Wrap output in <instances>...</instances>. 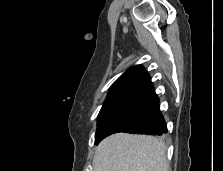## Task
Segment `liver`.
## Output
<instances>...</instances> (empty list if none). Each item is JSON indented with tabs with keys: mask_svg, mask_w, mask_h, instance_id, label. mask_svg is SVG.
Returning <instances> with one entry per match:
<instances>
[{
	"mask_svg": "<svg viewBox=\"0 0 223 171\" xmlns=\"http://www.w3.org/2000/svg\"><path fill=\"white\" fill-rule=\"evenodd\" d=\"M94 171H169L166 146L147 135L117 133L97 147Z\"/></svg>",
	"mask_w": 223,
	"mask_h": 171,
	"instance_id": "1",
	"label": "liver"
}]
</instances>
